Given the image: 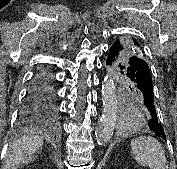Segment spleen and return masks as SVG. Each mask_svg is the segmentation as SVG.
Returning a JSON list of instances; mask_svg holds the SVG:
<instances>
[{
	"label": "spleen",
	"mask_w": 177,
	"mask_h": 169,
	"mask_svg": "<svg viewBox=\"0 0 177 169\" xmlns=\"http://www.w3.org/2000/svg\"><path fill=\"white\" fill-rule=\"evenodd\" d=\"M131 148L140 165L150 169H169L162 144L156 138L140 136L131 141Z\"/></svg>",
	"instance_id": "1"
}]
</instances>
